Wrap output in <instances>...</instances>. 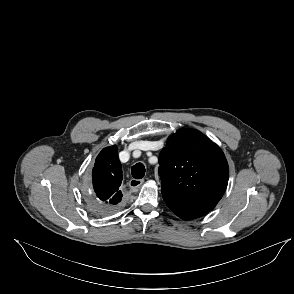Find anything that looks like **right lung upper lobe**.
Segmentation results:
<instances>
[{"label":"right lung upper lobe","instance_id":"right-lung-upper-lobe-1","mask_svg":"<svg viewBox=\"0 0 294 294\" xmlns=\"http://www.w3.org/2000/svg\"><path fill=\"white\" fill-rule=\"evenodd\" d=\"M95 201L98 204V213L109 214L115 210L122 200L120 185L122 169L118 157L117 147L104 148L96 158L92 171Z\"/></svg>","mask_w":294,"mask_h":294}]
</instances>
